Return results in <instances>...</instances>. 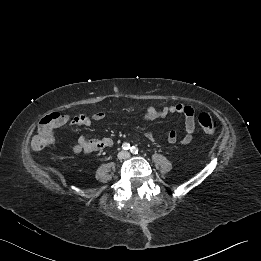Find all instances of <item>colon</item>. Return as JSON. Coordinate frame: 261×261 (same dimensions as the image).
Here are the masks:
<instances>
[{
  "instance_id": "1",
  "label": "colon",
  "mask_w": 261,
  "mask_h": 261,
  "mask_svg": "<svg viewBox=\"0 0 261 261\" xmlns=\"http://www.w3.org/2000/svg\"><path fill=\"white\" fill-rule=\"evenodd\" d=\"M66 117L60 113L54 112L41 119L38 124L35 135L32 138V147L36 151H40L50 144L54 138V129L58 125L64 123ZM198 123L203 133L211 135L217 129V121L208 113H201L198 116Z\"/></svg>"
}]
</instances>
